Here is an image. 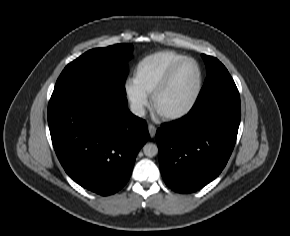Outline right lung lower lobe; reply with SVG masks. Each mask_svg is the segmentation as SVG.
I'll return each mask as SVG.
<instances>
[{
  "mask_svg": "<svg viewBox=\"0 0 290 236\" xmlns=\"http://www.w3.org/2000/svg\"><path fill=\"white\" fill-rule=\"evenodd\" d=\"M48 123L66 173L104 196L127 183L136 156L149 138L146 122L128 110L125 97L51 98Z\"/></svg>",
  "mask_w": 290,
  "mask_h": 236,
  "instance_id": "right-lung-lower-lobe-1",
  "label": "right lung lower lobe"
}]
</instances>
